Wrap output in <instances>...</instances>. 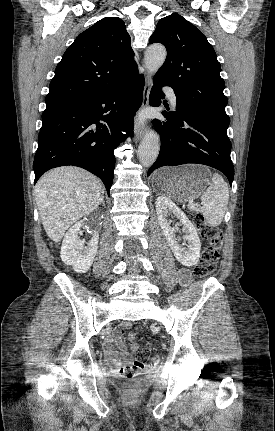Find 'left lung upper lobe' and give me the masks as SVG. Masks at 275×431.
Returning a JSON list of instances; mask_svg holds the SVG:
<instances>
[{
    "label": "left lung upper lobe",
    "instance_id": "1",
    "mask_svg": "<svg viewBox=\"0 0 275 431\" xmlns=\"http://www.w3.org/2000/svg\"><path fill=\"white\" fill-rule=\"evenodd\" d=\"M149 42L162 43L167 49L154 79L174 89L176 107L229 124L221 66L205 35L182 16L172 14L160 19Z\"/></svg>",
    "mask_w": 275,
    "mask_h": 431
}]
</instances>
